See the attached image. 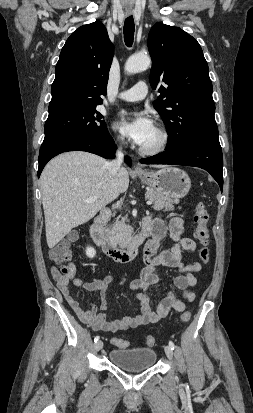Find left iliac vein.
I'll list each match as a JSON object with an SVG mask.
<instances>
[{
	"instance_id": "obj_1",
	"label": "left iliac vein",
	"mask_w": 253,
	"mask_h": 413,
	"mask_svg": "<svg viewBox=\"0 0 253 413\" xmlns=\"http://www.w3.org/2000/svg\"><path fill=\"white\" fill-rule=\"evenodd\" d=\"M165 353L169 360L173 359V351L169 345L165 346Z\"/></svg>"
}]
</instances>
